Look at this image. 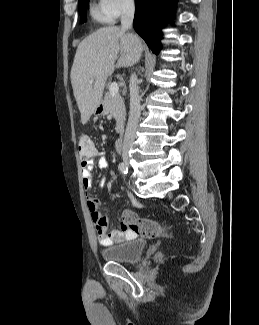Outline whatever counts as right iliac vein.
<instances>
[{
	"instance_id": "obj_1",
	"label": "right iliac vein",
	"mask_w": 259,
	"mask_h": 325,
	"mask_svg": "<svg viewBox=\"0 0 259 325\" xmlns=\"http://www.w3.org/2000/svg\"><path fill=\"white\" fill-rule=\"evenodd\" d=\"M123 160H124V162H125L126 164H128L129 161H130V157H129V155H128V154H124V155H123Z\"/></svg>"
}]
</instances>
